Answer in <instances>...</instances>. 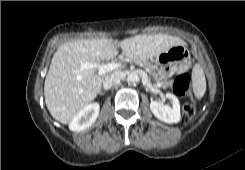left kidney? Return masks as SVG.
<instances>
[{
    "label": "left kidney",
    "mask_w": 245,
    "mask_h": 170,
    "mask_svg": "<svg viewBox=\"0 0 245 170\" xmlns=\"http://www.w3.org/2000/svg\"><path fill=\"white\" fill-rule=\"evenodd\" d=\"M166 97L171 101L172 106L164 105L162 102L152 101L150 103V109L159 120L169 124L178 123L181 119L179 100L172 93H167Z\"/></svg>",
    "instance_id": "obj_1"
}]
</instances>
